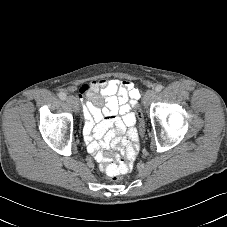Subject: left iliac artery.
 <instances>
[{
  "label": "left iliac artery",
  "mask_w": 227,
  "mask_h": 227,
  "mask_svg": "<svg viewBox=\"0 0 227 227\" xmlns=\"http://www.w3.org/2000/svg\"><path fill=\"white\" fill-rule=\"evenodd\" d=\"M162 89H163V86H162V85H157V86L155 87V91H156V92H160V91H162Z\"/></svg>",
  "instance_id": "left-iliac-artery-1"
}]
</instances>
